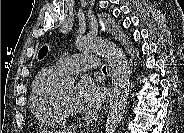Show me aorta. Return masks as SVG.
<instances>
[{
    "mask_svg": "<svg viewBox=\"0 0 184 133\" xmlns=\"http://www.w3.org/2000/svg\"><path fill=\"white\" fill-rule=\"evenodd\" d=\"M76 46L80 51L101 54L109 66L112 76V96L105 133H114L123 118L129 96L130 66L126 56L115 44L101 38L82 37L77 39ZM66 82L74 83V79L67 77Z\"/></svg>",
    "mask_w": 184,
    "mask_h": 133,
    "instance_id": "762f6f07",
    "label": "aorta"
}]
</instances>
